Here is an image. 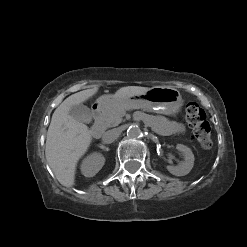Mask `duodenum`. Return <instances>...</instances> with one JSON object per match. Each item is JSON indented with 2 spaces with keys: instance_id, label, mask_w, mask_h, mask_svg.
<instances>
[{
  "instance_id": "duodenum-1",
  "label": "duodenum",
  "mask_w": 247,
  "mask_h": 247,
  "mask_svg": "<svg viewBox=\"0 0 247 247\" xmlns=\"http://www.w3.org/2000/svg\"><path fill=\"white\" fill-rule=\"evenodd\" d=\"M107 105H98L95 107L94 115V124L91 128V134L94 138H100L105 130L104 117L107 111Z\"/></svg>"
}]
</instances>
